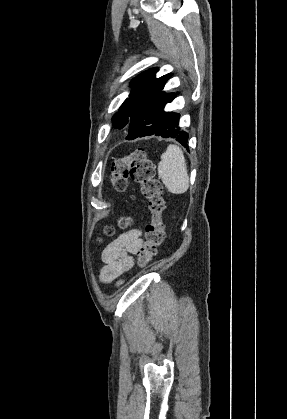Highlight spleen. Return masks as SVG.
<instances>
[{"label": "spleen", "mask_w": 287, "mask_h": 419, "mask_svg": "<svg viewBox=\"0 0 287 419\" xmlns=\"http://www.w3.org/2000/svg\"><path fill=\"white\" fill-rule=\"evenodd\" d=\"M158 175L172 194H183L189 188V176L183 151L175 144L168 145L158 164Z\"/></svg>", "instance_id": "1"}]
</instances>
